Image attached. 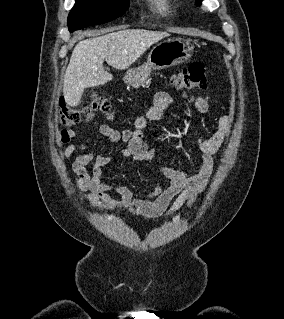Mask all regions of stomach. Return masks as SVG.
Returning <instances> with one entry per match:
<instances>
[{
  "mask_svg": "<svg viewBox=\"0 0 284 319\" xmlns=\"http://www.w3.org/2000/svg\"><path fill=\"white\" fill-rule=\"evenodd\" d=\"M193 46L184 38H173L153 47L147 62L136 70L130 71L124 81L133 88L144 85L153 70L165 69L191 58Z\"/></svg>",
  "mask_w": 284,
  "mask_h": 319,
  "instance_id": "0dacf381",
  "label": "stomach"
}]
</instances>
